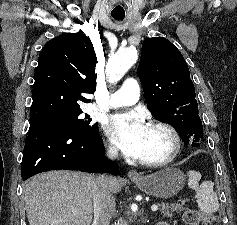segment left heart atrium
Segmentation results:
<instances>
[{
  "label": "left heart atrium",
  "mask_w": 237,
  "mask_h": 225,
  "mask_svg": "<svg viewBox=\"0 0 237 225\" xmlns=\"http://www.w3.org/2000/svg\"><path fill=\"white\" fill-rule=\"evenodd\" d=\"M106 130L124 154L141 157L147 126L138 114H115L108 119Z\"/></svg>",
  "instance_id": "left-heart-atrium-1"
}]
</instances>
